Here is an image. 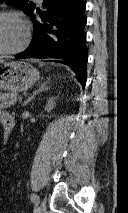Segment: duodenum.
Listing matches in <instances>:
<instances>
[{"instance_id":"obj_1","label":"duodenum","mask_w":128,"mask_h":213,"mask_svg":"<svg viewBox=\"0 0 128 213\" xmlns=\"http://www.w3.org/2000/svg\"><path fill=\"white\" fill-rule=\"evenodd\" d=\"M2 124L4 127V139L6 140L14 128L15 119L12 115L8 114L3 119Z\"/></svg>"}]
</instances>
